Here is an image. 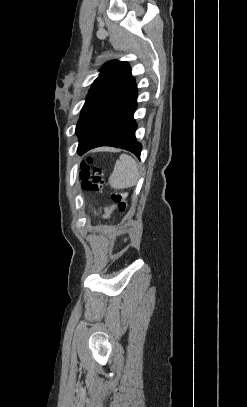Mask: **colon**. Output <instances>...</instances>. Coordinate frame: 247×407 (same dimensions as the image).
<instances>
[{"instance_id":"obj_1","label":"colon","mask_w":247,"mask_h":407,"mask_svg":"<svg viewBox=\"0 0 247 407\" xmlns=\"http://www.w3.org/2000/svg\"><path fill=\"white\" fill-rule=\"evenodd\" d=\"M80 178L82 180V187L85 190L93 192H101L104 189L105 181L102 177V171L94 166L93 159L87 157L85 161L80 164ZM112 201L118 205L120 211L127 210V193L121 191L111 192Z\"/></svg>"}]
</instances>
